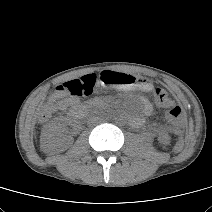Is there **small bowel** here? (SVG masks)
<instances>
[{
  "label": "small bowel",
  "instance_id": "small-bowel-1",
  "mask_svg": "<svg viewBox=\"0 0 212 212\" xmlns=\"http://www.w3.org/2000/svg\"><path fill=\"white\" fill-rule=\"evenodd\" d=\"M53 99L54 98H51L50 101H52ZM77 103H78V100L75 99V98L63 99V100L59 101L58 107H59V109L64 110V109H66L69 106L76 105ZM144 108H145L146 112L149 111V105L147 103L144 104Z\"/></svg>",
  "mask_w": 212,
  "mask_h": 212
}]
</instances>
